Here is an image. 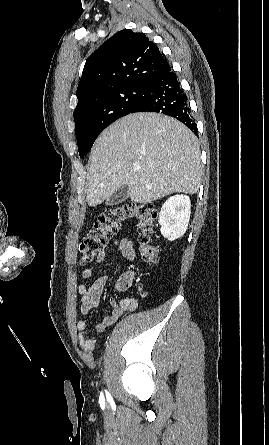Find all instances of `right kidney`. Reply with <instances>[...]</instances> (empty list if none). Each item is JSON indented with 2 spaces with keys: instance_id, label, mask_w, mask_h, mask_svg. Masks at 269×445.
I'll list each match as a JSON object with an SVG mask.
<instances>
[{
  "instance_id": "obj_1",
  "label": "right kidney",
  "mask_w": 269,
  "mask_h": 445,
  "mask_svg": "<svg viewBox=\"0 0 269 445\" xmlns=\"http://www.w3.org/2000/svg\"><path fill=\"white\" fill-rule=\"evenodd\" d=\"M190 198L186 195H175L162 205L159 214L161 234L170 241L182 237L190 219Z\"/></svg>"
}]
</instances>
